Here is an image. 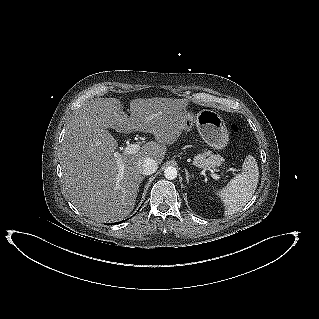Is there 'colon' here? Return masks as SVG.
<instances>
[{
    "instance_id": "colon-1",
    "label": "colon",
    "mask_w": 319,
    "mask_h": 319,
    "mask_svg": "<svg viewBox=\"0 0 319 319\" xmlns=\"http://www.w3.org/2000/svg\"><path fill=\"white\" fill-rule=\"evenodd\" d=\"M231 129H232L233 131H237V130H238V126H237L236 124H232V125H231Z\"/></svg>"
}]
</instances>
